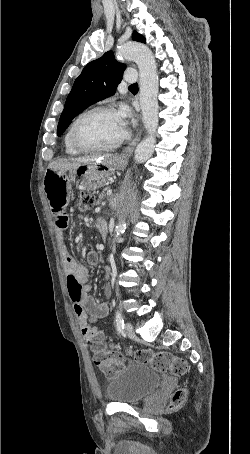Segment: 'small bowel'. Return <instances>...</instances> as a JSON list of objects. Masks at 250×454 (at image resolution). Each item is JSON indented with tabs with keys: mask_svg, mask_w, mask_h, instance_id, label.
Instances as JSON below:
<instances>
[{
	"mask_svg": "<svg viewBox=\"0 0 250 454\" xmlns=\"http://www.w3.org/2000/svg\"><path fill=\"white\" fill-rule=\"evenodd\" d=\"M44 187L55 224L60 230H63L68 224L67 208L76 190L75 176L70 172L49 171L45 177ZM98 228L102 233L105 225L99 223ZM62 258L67 277V290L73 303L81 334L86 341L91 342L96 329L90 325V317H106L110 311L109 304L98 303L88 296L92 286L90 273L86 267L78 263L65 250ZM87 259L94 263L97 261L98 255L95 251H89Z\"/></svg>",
	"mask_w": 250,
	"mask_h": 454,
	"instance_id": "1",
	"label": "small bowel"
}]
</instances>
